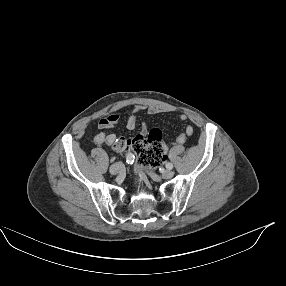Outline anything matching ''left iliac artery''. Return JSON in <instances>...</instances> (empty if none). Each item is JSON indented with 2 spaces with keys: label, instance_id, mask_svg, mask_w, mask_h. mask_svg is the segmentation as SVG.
<instances>
[{
  "label": "left iliac artery",
  "instance_id": "44dca946",
  "mask_svg": "<svg viewBox=\"0 0 286 286\" xmlns=\"http://www.w3.org/2000/svg\"><path fill=\"white\" fill-rule=\"evenodd\" d=\"M166 168L169 169V170L173 169V164L172 163H167L166 164Z\"/></svg>",
  "mask_w": 286,
  "mask_h": 286
}]
</instances>
